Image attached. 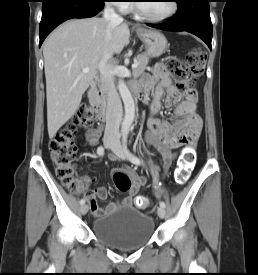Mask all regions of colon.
I'll return each mask as SVG.
<instances>
[{"mask_svg":"<svg viewBox=\"0 0 258 275\" xmlns=\"http://www.w3.org/2000/svg\"><path fill=\"white\" fill-rule=\"evenodd\" d=\"M205 60L206 56L202 52L193 49L187 54L185 60L172 58L167 62L168 70L178 79L179 90L188 91L194 88L196 80L204 72ZM92 126L93 114L91 110L81 107L72 120L62 127L49 143L50 156L56 174L61 182L71 190H77L80 186L73 165L77 149L74 137L78 127L89 129ZM193 162L192 149L188 148L180 157L174 173L177 184L182 185L188 180ZM113 181L119 191H130L131 179L126 173H114ZM135 204L138 208L144 209L148 206L149 200L145 196H139L135 199Z\"/></svg>","mask_w":258,"mask_h":275,"instance_id":"obj_1","label":"colon"}]
</instances>
